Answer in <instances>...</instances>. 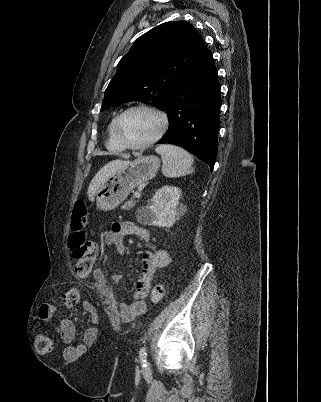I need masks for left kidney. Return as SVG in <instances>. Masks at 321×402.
<instances>
[{
  "label": "left kidney",
  "mask_w": 321,
  "mask_h": 402,
  "mask_svg": "<svg viewBox=\"0 0 321 402\" xmlns=\"http://www.w3.org/2000/svg\"><path fill=\"white\" fill-rule=\"evenodd\" d=\"M180 196L181 190L178 187H161L147 206L137 211V220L146 225L171 227L176 221Z\"/></svg>",
  "instance_id": "1"
}]
</instances>
